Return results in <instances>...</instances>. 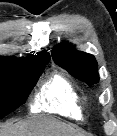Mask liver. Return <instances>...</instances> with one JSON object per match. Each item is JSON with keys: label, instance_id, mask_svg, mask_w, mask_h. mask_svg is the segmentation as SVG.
Listing matches in <instances>:
<instances>
[{"label": "liver", "instance_id": "6515ba94", "mask_svg": "<svg viewBox=\"0 0 117 136\" xmlns=\"http://www.w3.org/2000/svg\"><path fill=\"white\" fill-rule=\"evenodd\" d=\"M0 136H88L83 132L58 121L35 117L5 124L0 128Z\"/></svg>", "mask_w": 117, "mask_h": 136}]
</instances>
